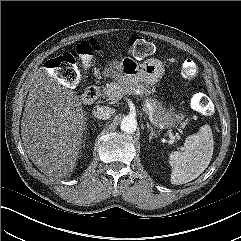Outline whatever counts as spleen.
<instances>
[{"instance_id":"spleen-1","label":"spleen","mask_w":241,"mask_h":241,"mask_svg":"<svg viewBox=\"0 0 241 241\" xmlns=\"http://www.w3.org/2000/svg\"><path fill=\"white\" fill-rule=\"evenodd\" d=\"M213 149L214 142L209 125L202 126L199 132L188 136L181 152L169 154L171 183L179 185L196 179L208 167Z\"/></svg>"}]
</instances>
